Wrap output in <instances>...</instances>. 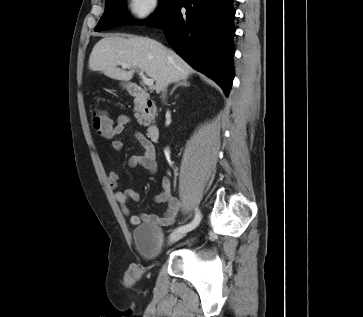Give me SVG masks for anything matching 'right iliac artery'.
I'll return each mask as SVG.
<instances>
[{
  "instance_id": "82829eb1",
  "label": "right iliac artery",
  "mask_w": 363,
  "mask_h": 317,
  "mask_svg": "<svg viewBox=\"0 0 363 317\" xmlns=\"http://www.w3.org/2000/svg\"><path fill=\"white\" fill-rule=\"evenodd\" d=\"M200 220H201L200 212L196 210V215H195L194 220L191 223L187 224V225L178 227L176 229V231H187V232L191 231L196 226H198V224L200 223Z\"/></svg>"
}]
</instances>
